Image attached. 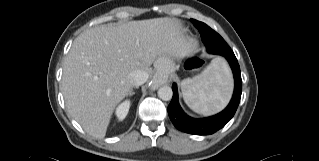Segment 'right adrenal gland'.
Segmentation results:
<instances>
[{
    "label": "right adrenal gland",
    "mask_w": 319,
    "mask_h": 161,
    "mask_svg": "<svg viewBox=\"0 0 319 161\" xmlns=\"http://www.w3.org/2000/svg\"><path fill=\"white\" fill-rule=\"evenodd\" d=\"M135 93L133 92V87L131 88V90L129 91V93H128V96L129 97H131V96H133Z\"/></svg>",
    "instance_id": "right-adrenal-gland-1"
}]
</instances>
